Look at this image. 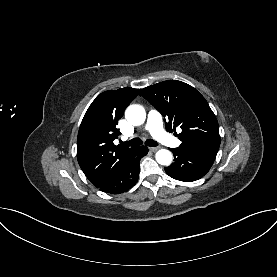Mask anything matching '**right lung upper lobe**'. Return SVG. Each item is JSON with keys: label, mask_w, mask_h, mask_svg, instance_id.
<instances>
[{"label": "right lung upper lobe", "mask_w": 277, "mask_h": 277, "mask_svg": "<svg viewBox=\"0 0 277 277\" xmlns=\"http://www.w3.org/2000/svg\"><path fill=\"white\" fill-rule=\"evenodd\" d=\"M140 89L130 87L108 90L96 97L81 122L77 138L78 163L95 186L111 179L128 161L137 147L115 146L116 128L126 107Z\"/></svg>", "instance_id": "right-lung-upper-lobe-1"}]
</instances>
